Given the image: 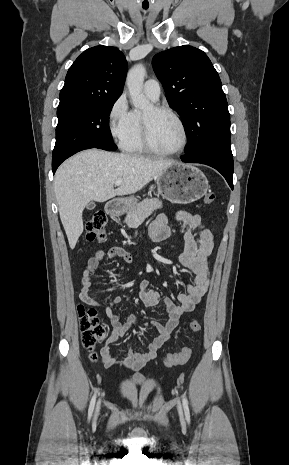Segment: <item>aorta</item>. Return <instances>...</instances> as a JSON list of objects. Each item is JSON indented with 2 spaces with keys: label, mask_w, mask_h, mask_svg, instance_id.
Segmentation results:
<instances>
[{
  "label": "aorta",
  "mask_w": 289,
  "mask_h": 465,
  "mask_svg": "<svg viewBox=\"0 0 289 465\" xmlns=\"http://www.w3.org/2000/svg\"><path fill=\"white\" fill-rule=\"evenodd\" d=\"M145 75V67L142 64H137L129 70L126 78L131 101L136 108L142 110L150 107L149 100L143 94Z\"/></svg>",
  "instance_id": "1"
}]
</instances>
